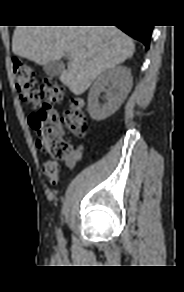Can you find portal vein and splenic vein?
<instances>
[{"instance_id": "obj_1", "label": "portal vein and splenic vein", "mask_w": 184, "mask_h": 292, "mask_svg": "<svg viewBox=\"0 0 184 292\" xmlns=\"http://www.w3.org/2000/svg\"><path fill=\"white\" fill-rule=\"evenodd\" d=\"M68 57H69V58H71V57H72V55H71V54H68Z\"/></svg>"}]
</instances>
